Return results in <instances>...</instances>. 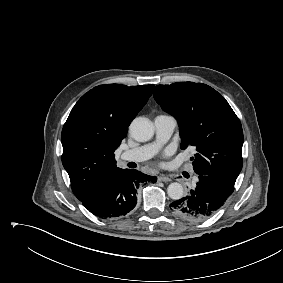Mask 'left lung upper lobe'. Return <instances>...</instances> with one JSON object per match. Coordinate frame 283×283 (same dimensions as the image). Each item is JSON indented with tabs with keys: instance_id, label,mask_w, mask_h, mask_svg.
Returning <instances> with one entry per match:
<instances>
[{
	"instance_id": "5c2ea615",
	"label": "left lung upper lobe",
	"mask_w": 283,
	"mask_h": 283,
	"mask_svg": "<svg viewBox=\"0 0 283 283\" xmlns=\"http://www.w3.org/2000/svg\"><path fill=\"white\" fill-rule=\"evenodd\" d=\"M153 96L179 124L181 149L197 150L193 169L235 184L242 169L243 131L240 120L220 93L194 82L158 85Z\"/></svg>"
}]
</instances>
